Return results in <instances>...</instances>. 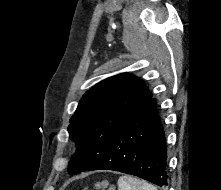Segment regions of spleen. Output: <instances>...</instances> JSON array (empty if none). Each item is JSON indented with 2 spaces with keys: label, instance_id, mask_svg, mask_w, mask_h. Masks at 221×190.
Segmentation results:
<instances>
[{
  "label": "spleen",
  "instance_id": "1",
  "mask_svg": "<svg viewBox=\"0 0 221 190\" xmlns=\"http://www.w3.org/2000/svg\"><path fill=\"white\" fill-rule=\"evenodd\" d=\"M118 190H157V188L135 177L121 176L118 180Z\"/></svg>",
  "mask_w": 221,
  "mask_h": 190
}]
</instances>
